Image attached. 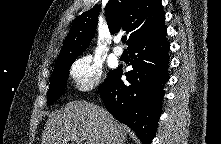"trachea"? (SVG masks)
Returning a JSON list of instances; mask_svg holds the SVG:
<instances>
[{
    "label": "trachea",
    "instance_id": "3493384b",
    "mask_svg": "<svg viewBox=\"0 0 221 144\" xmlns=\"http://www.w3.org/2000/svg\"><path fill=\"white\" fill-rule=\"evenodd\" d=\"M126 40H127V37H126V36H123V37H122V42H123V43H126Z\"/></svg>",
    "mask_w": 221,
    "mask_h": 144
}]
</instances>
